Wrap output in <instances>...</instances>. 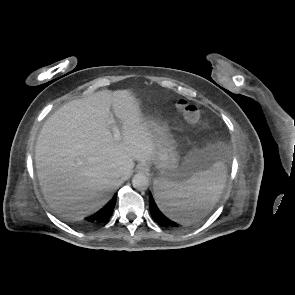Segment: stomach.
Segmentation results:
<instances>
[{"label": "stomach", "instance_id": "obj_1", "mask_svg": "<svg viewBox=\"0 0 295 295\" xmlns=\"http://www.w3.org/2000/svg\"><path fill=\"white\" fill-rule=\"evenodd\" d=\"M155 139V152L153 163L164 179H175L183 175V167L189 165L197 156L190 154L185 162L180 164V151L178 142L172 135L168 124L161 118H145ZM211 167V162L199 166L196 171H205Z\"/></svg>", "mask_w": 295, "mask_h": 295}]
</instances>
